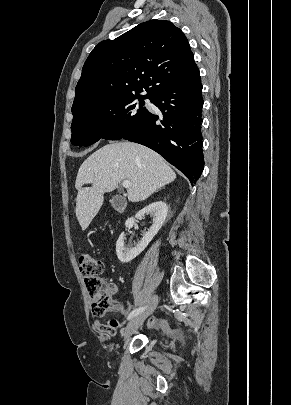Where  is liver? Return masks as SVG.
Instances as JSON below:
<instances>
[{
  "mask_svg": "<svg viewBox=\"0 0 291 405\" xmlns=\"http://www.w3.org/2000/svg\"><path fill=\"white\" fill-rule=\"evenodd\" d=\"M175 172L153 150L132 142L111 143L91 154L80 166L75 188L76 217L87 229L100 210L104 193L115 190L121 181H130V202L147 199L161 187L173 182ZM92 184L91 187H83Z\"/></svg>",
  "mask_w": 291,
  "mask_h": 405,
  "instance_id": "6515ba94",
  "label": "liver"
}]
</instances>
